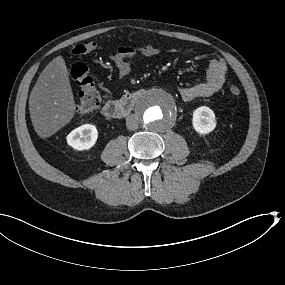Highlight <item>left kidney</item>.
I'll use <instances>...</instances> for the list:
<instances>
[{"mask_svg":"<svg viewBox=\"0 0 285 285\" xmlns=\"http://www.w3.org/2000/svg\"><path fill=\"white\" fill-rule=\"evenodd\" d=\"M192 123L198 133L208 134L216 127L214 112L209 107H199L193 113Z\"/></svg>","mask_w":285,"mask_h":285,"instance_id":"5707ae66","label":"left kidney"}]
</instances>
